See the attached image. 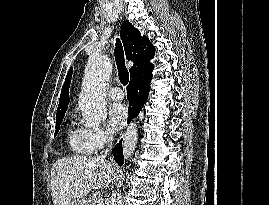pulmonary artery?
Returning a JSON list of instances; mask_svg holds the SVG:
<instances>
[{
  "label": "pulmonary artery",
  "mask_w": 269,
  "mask_h": 205,
  "mask_svg": "<svg viewBox=\"0 0 269 205\" xmlns=\"http://www.w3.org/2000/svg\"><path fill=\"white\" fill-rule=\"evenodd\" d=\"M108 95L111 99L122 100L124 98V92L120 87H113L109 90Z\"/></svg>",
  "instance_id": "e3ab8cb5"
}]
</instances>
